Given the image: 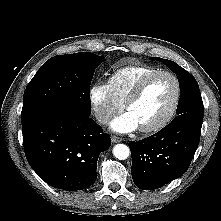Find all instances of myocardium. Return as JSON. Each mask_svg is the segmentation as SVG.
<instances>
[{
	"mask_svg": "<svg viewBox=\"0 0 221 221\" xmlns=\"http://www.w3.org/2000/svg\"><path fill=\"white\" fill-rule=\"evenodd\" d=\"M160 75H166L170 77L174 82L175 94H174L173 102L168 112L159 121H157L156 123L150 126L139 128V130L143 133H152V132L159 131L160 129L164 128L174 117L178 109L180 99H181V83H180L179 78L174 73L167 71V70L154 71L139 80V82L136 84V86L133 88V90L131 91V93L128 95V97L123 103L124 109L127 110L128 107L141 96L147 84L153 78L160 76Z\"/></svg>",
	"mask_w": 221,
	"mask_h": 221,
	"instance_id": "1",
	"label": "myocardium"
}]
</instances>
